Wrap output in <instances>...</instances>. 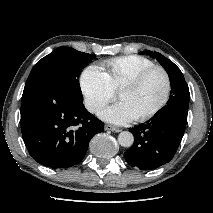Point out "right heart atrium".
<instances>
[{
    "label": "right heart atrium",
    "instance_id": "obj_1",
    "mask_svg": "<svg viewBox=\"0 0 213 213\" xmlns=\"http://www.w3.org/2000/svg\"><path fill=\"white\" fill-rule=\"evenodd\" d=\"M80 88L86 108L96 113L115 97L107 75L97 65L87 66L80 76Z\"/></svg>",
    "mask_w": 213,
    "mask_h": 213
}]
</instances>
